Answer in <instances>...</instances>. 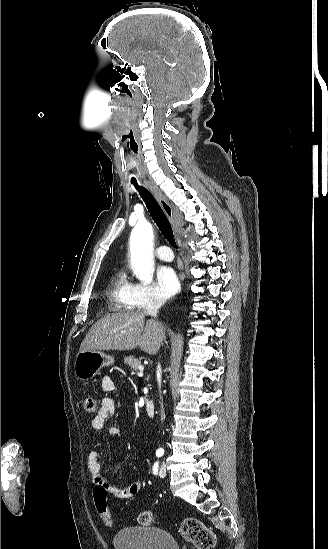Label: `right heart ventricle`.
I'll return each instance as SVG.
<instances>
[{
	"mask_svg": "<svg viewBox=\"0 0 328 549\" xmlns=\"http://www.w3.org/2000/svg\"><path fill=\"white\" fill-rule=\"evenodd\" d=\"M108 303H120L121 310H134V303H143L137 285L127 277L123 269L116 271L112 277Z\"/></svg>",
	"mask_w": 328,
	"mask_h": 549,
	"instance_id": "obj_1",
	"label": "right heart ventricle"
}]
</instances>
